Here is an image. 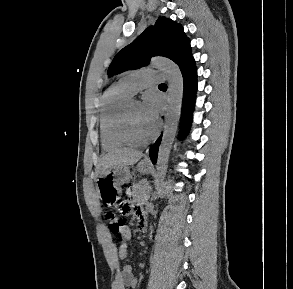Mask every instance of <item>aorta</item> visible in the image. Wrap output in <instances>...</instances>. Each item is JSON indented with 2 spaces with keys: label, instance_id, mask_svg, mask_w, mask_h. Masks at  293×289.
Wrapping results in <instances>:
<instances>
[{
  "label": "aorta",
  "instance_id": "1",
  "mask_svg": "<svg viewBox=\"0 0 293 289\" xmlns=\"http://www.w3.org/2000/svg\"><path fill=\"white\" fill-rule=\"evenodd\" d=\"M151 65L162 69L168 80V110L156 164V186H160L166 176L170 151L178 128L183 96V77L179 67L168 59H153Z\"/></svg>",
  "mask_w": 293,
  "mask_h": 289
}]
</instances>
